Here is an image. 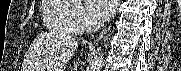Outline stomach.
Here are the masks:
<instances>
[{
    "label": "stomach",
    "mask_w": 181,
    "mask_h": 71,
    "mask_svg": "<svg viewBox=\"0 0 181 71\" xmlns=\"http://www.w3.org/2000/svg\"><path fill=\"white\" fill-rule=\"evenodd\" d=\"M52 71H63V68H62V67L55 68V69H53Z\"/></svg>",
    "instance_id": "stomach-1"
}]
</instances>
